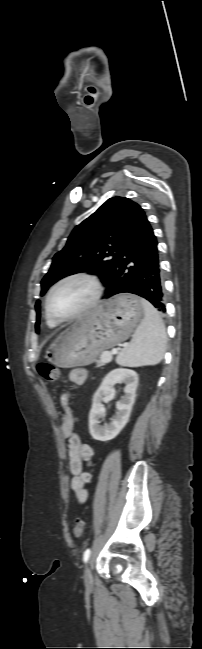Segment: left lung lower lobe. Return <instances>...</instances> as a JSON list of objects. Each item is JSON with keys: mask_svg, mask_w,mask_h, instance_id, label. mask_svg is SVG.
<instances>
[{"mask_svg": "<svg viewBox=\"0 0 202 649\" xmlns=\"http://www.w3.org/2000/svg\"><path fill=\"white\" fill-rule=\"evenodd\" d=\"M124 292L144 297L165 312L157 241L146 216L125 240L109 291L103 298Z\"/></svg>", "mask_w": 202, "mask_h": 649, "instance_id": "left-lung-lower-lobe-1", "label": "left lung lower lobe"}]
</instances>
